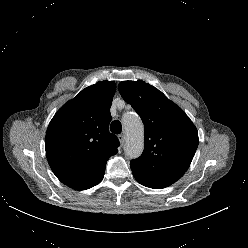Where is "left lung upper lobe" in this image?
<instances>
[{
    "mask_svg": "<svg viewBox=\"0 0 248 248\" xmlns=\"http://www.w3.org/2000/svg\"><path fill=\"white\" fill-rule=\"evenodd\" d=\"M119 92L144 124V151L130 163L135 179L154 189L170 186L194 157L199 142L196 127L180 107L144 81H122Z\"/></svg>",
    "mask_w": 248,
    "mask_h": 248,
    "instance_id": "5c2ea615",
    "label": "left lung upper lobe"
}]
</instances>
